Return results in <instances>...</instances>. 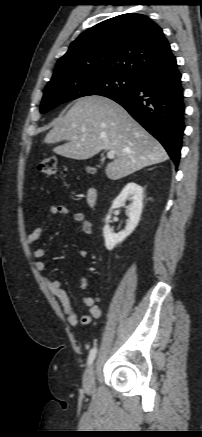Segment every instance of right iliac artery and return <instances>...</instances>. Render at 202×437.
I'll list each match as a JSON object with an SVG mask.
<instances>
[{
  "instance_id": "right-iliac-artery-1",
  "label": "right iliac artery",
  "mask_w": 202,
  "mask_h": 437,
  "mask_svg": "<svg viewBox=\"0 0 202 437\" xmlns=\"http://www.w3.org/2000/svg\"><path fill=\"white\" fill-rule=\"evenodd\" d=\"M96 352H97L96 347H94V348L90 351L89 356H88V360H87V364H88V365H91L92 362L94 361L95 356H96Z\"/></svg>"
}]
</instances>
